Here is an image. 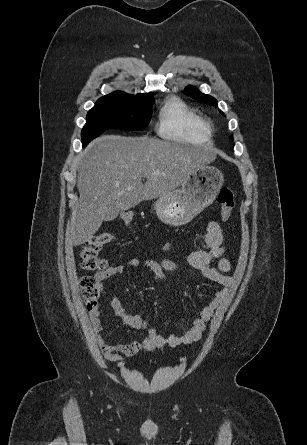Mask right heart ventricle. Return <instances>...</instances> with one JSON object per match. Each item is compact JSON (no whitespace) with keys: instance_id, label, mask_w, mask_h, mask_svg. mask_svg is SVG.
Masks as SVG:
<instances>
[{"instance_id":"e07e8e85","label":"right heart ventricle","mask_w":307,"mask_h":445,"mask_svg":"<svg viewBox=\"0 0 307 445\" xmlns=\"http://www.w3.org/2000/svg\"><path fill=\"white\" fill-rule=\"evenodd\" d=\"M157 133L164 139L205 140L208 143L211 127L185 103L169 98L160 110Z\"/></svg>"}]
</instances>
